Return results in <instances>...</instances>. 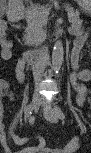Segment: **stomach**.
Listing matches in <instances>:
<instances>
[{
  "mask_svg": "<svg viewBox=\"0 0 91 153\" xmlns=\"http://www.w3.org/2000/svg\"><path fill=\"white\" fill-rule=\"evenodd\" d=\"M80 3H81V1H80ZM82 4H83V5H88V6H89L90 2H89V1H82Z\"/></svg>",
  "mask_w": 91,
  "mask_h": 153,
  "instance_id": "obj_1",
  "label": "stomach"
}]
</instances>
